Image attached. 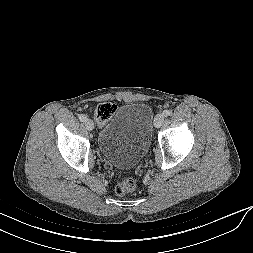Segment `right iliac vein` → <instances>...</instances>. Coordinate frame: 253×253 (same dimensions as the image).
<instances>
[{"label": "right iliac vein", "instance_id": "63e3f726", "mask_svg": "<svg viewBox=\"0 0 253 253\" xmlns=\"http://www.w3.org/2000/svg\"><path fill=\"white\" fill-rule=\"evenodd\" d=\"M85 126L89 131L94 129V123L91 119H86Z\"/></svg>", "mask_w": 253, "mask_h": 253}]
</instances>
